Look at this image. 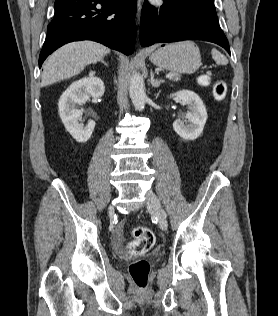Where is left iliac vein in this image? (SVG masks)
<instances>
[{
    "instance_id": "4c4485c4",
    "label": "left iliac vein",
    "mask_w": 278,
    "mask_h": 316,
    "mask_svg": "<svg viewBox=\"0 0 278 316\" xmlns=\"http://www.w3.org/2000/svg\"><path fill=\"white\" fill-rule=\"evenodd\" d=\"M146 197L147 208L153 215L156 216L160 229L163 231L167 230L168 223L165 216L161 212V204L158 197L152 191H148L146 193Z\"/></svg>"
}]
</instances>
